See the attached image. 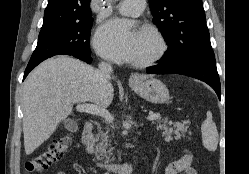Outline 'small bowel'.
I'll return each mask as SVG.
<instances>
[{"instance_id": "1", "label": "small bowel", "mask_w": 249, "mask_h": 174, "mask_svg": "<svg viewBox=\"0 0 249 174\" xmlns=\"http://www.w3.org/2000/svg\"><path fill=\"white\" fill-rule=\"evenodd\" d=\"M192 154L185 151L180 159L172 162L164 171V174H197V171L192 167ZM73 169L78 174H86L83 167L78 163L72 164ZM56 174H66L59 171Z\"/></svg>"}]
</instances>
